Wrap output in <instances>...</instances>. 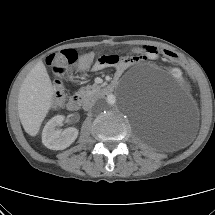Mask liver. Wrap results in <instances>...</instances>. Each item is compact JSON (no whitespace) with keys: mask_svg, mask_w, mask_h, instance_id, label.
Wrapping results in <instances>:
<instances>
[{"mask_svg":"<svg viewBox=\"0 0 215 215\" xmlns=\"http://www.w3.org/2000/svg\"><path fill=\"white\" fill-rule=\"evenodd\" d=\"M54 88L46 67L39 61L27 74L18 95V114L26 133L36 136L52 106Z\"/></svg>","mask_w":215,"mask_h":215,"instance_id":"1","label":"liver"}]
</instances>
